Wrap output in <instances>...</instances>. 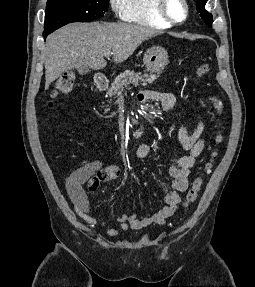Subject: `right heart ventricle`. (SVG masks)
<instances>
[{
	"label": "right heart ventricle",
	"instance_id": "obj_1",
	"mask_svg": "<svg viewBox=\"0 0 255 287\" xmlns=\"http://www.w3.org/2000/svg\"><path fill=\"white\" fill-rule=\"evenodd\" d=\"M140 33H148V32H140Z\"/></svg>",
	"mask_w": 255,
	"mask_h": 287
}]
</instances>
